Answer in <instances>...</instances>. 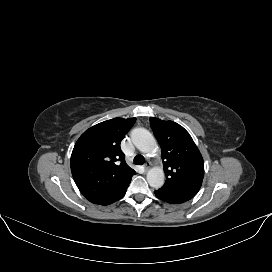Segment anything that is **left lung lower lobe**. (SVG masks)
I'll return each mask as SVG.
<instances>
[{
  "label": "left lung lower lobe",
  "instance_id": "obj_1",
  "mask_svg": "<svg viewBox=\"0 0 272 272\" xmlns=\"http://www.w3.org/2000/svg\"><path fill=\"white\" fill-rule=\"evenodd\" d=\"M154 193L159 199H161L165 202L171 203V204L184 203V202L192 199L195 196V195L187 194V193L169 191V190H165L162 188L155 191Z\"/></svg>",
  "mask_w": 272,
  "mask_h": 272
}]
</instances>
